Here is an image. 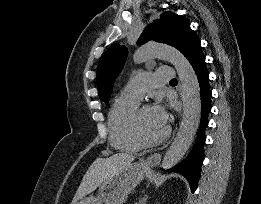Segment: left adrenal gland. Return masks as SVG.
Instances as JSON below:
<instances>
[{"mask_svg": "<svg viewBox=\"0 0 261 204\" xmlns=\"http://www.w3.org/2000/svg\"><path fill=\"white\" fill-rule=\"evenodd\" d=\"M147 201V197L143 199L142 204H145Z\"/></svg>", "mask_w": 261, "mask_h": 204, "instance_id": "left-adrenal-gland-1", "label": "left adrenal gland"}]
</instances>
